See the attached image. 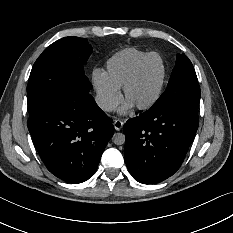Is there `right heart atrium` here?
<instances>
[{
  "label": "right heart atrium",
  "instance_id": "1",
  "mask_svg": "<svg viewBox=\"0 0 233 233\" xmlns=\"http://www.w3.org/2000/svg\"><path fill=\"white\" fill-rule=\"evenodd\" d=\"M91 81L95 92V101L104 112H111L122 99L121 90L115 86L99 68L92 71Z\"/></svg>",
  "mask_w": 233,
  "mask_h": 233
}]
</instances>
